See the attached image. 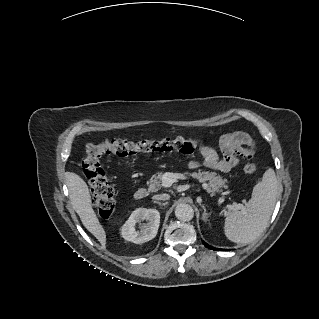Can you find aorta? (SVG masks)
<instances>
[{
	"mask_svg": "<svg viewBox=\"0 0 319 319\" xmlns=\"http://www.w3.org/2000/svg\"><path fill=\"white\" fill-rule=\"evenodd\" d=\"M175 216L180 221H190L194 217V210L189 204L180 203L175 208Z\"/></svg>",
	"mask_w": 319,
	"mask_h": 319,
	"instance_id": "obj_1",
	"label": "aorta"
}]
</instances>
